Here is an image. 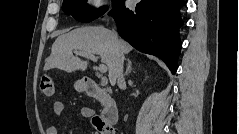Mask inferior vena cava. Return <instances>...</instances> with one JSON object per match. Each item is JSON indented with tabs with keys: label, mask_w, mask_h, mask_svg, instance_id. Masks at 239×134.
Here are the masks:
<instances>
[{
	"label": "inferior vena cava",
	"mask_w": 239,
	"mask_h": 134,
	"mask_svg": "<svg viewBox=\"0 0 239 134\" xmlns=\"http://www.w3.org/2000/svg\"><path fill=\"white\" fill-rule=\"evenodd\" d=\"M113 35L115 39H117V34L113 30ZM123 63H124V54L121 50L116 49L115 51V58H114V65L113 71L114 75L117 79L118 86L121 87L124 84V76H123Z\"/></svg>",
	"instance_id": "inferior-vena-cava-1"
}]
</instances>
